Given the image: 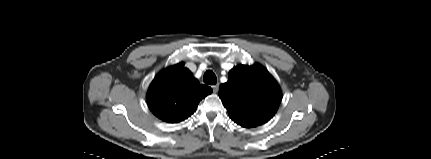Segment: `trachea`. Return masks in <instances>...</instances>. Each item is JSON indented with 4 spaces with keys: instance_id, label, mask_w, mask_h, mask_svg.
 Listing matches in <instances>:
<instances>
[{
    "instance_id": "trachea-1",
    "label": "trachea",
    "mask_w": 431,
    "mask_h": 159,
    "mask_svg": "<svg viewBox=\"0 0 431 159\" xmlns=\"http://www.w3.org/2000/svg\"><path fill=\"white\" fill-rule=\"evenodd\" d=\"M203 81L209 85H215L217 83V77L212 70H207L204 74Z\"/></svg>"
}]
</instances>
